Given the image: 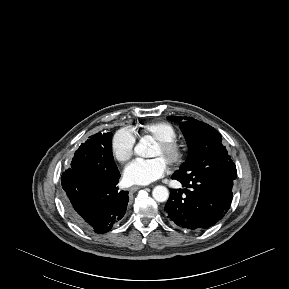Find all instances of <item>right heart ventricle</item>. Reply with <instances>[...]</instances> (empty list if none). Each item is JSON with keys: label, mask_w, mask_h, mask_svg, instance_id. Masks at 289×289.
<instances>
[{"label": "right heart ventricle", "mask_w": 289, "mask_h": 289, "mask_svg": "<svg viewBox=\"0 0 289 289\" xmlns=\"http://www.w3.org/2000/svg\"><path fill=\"white\" fill-rule=\"evenodd\" d=\"M134 134L141 139L153 142L174 140L177 137L175 128L165 121H150L137 126Z\"/></svg>", "instance_id": "right-heart-ventricle-1"}]
</instances>
